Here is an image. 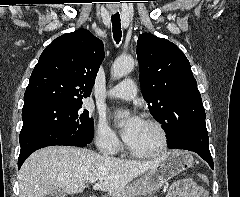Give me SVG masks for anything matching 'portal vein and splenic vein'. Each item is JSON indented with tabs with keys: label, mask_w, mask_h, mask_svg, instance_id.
Instances as JSON below:
<instances>
[{
	"label": "portal vein and splenic vein",
	"mask_w": 240,
	"mask_h": 197,
	"mask_svg": "<svg viewBox=\"0 0 240 197\" xmlns=\"http://www.w3.org/2000/svg\"><path fill=\"white\" fill-rule=\"evenodd\" d=\"M96 181H97L96 178H92V179L89 180L90 183H95Z\"/></svg>",
	"instance_id": "18ae733b"
}]
</instances>
